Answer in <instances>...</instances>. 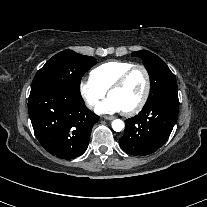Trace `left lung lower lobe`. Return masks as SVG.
I'll return each mask as SVG.
<instances>
[{
	"label": "left lung lower lobe",
	"instance_id": "1",
	"mask_svg": "<svg viewBox=\"0 0 207 207\" xmlns=\"http://www.w3.org/2000/svg\"><path fill=\"white\" fill-rule=\"evenodd\" d=\"M177 91H166L146 102L142 111L126 120L121 148L131 155H148L158 150L169 138L177 121Z\"/></svg>",
	"mask_w": 207,
	"mask_h": 207
}]
</instances>
